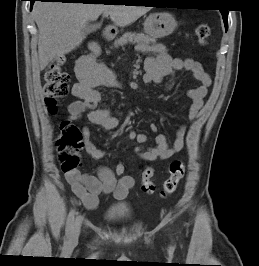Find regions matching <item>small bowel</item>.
Masks as SVG:
<instances>
[{
	"label": "small bowel",
	"mask_w": 259,
	"mask_h": 266,
	"mask_svg": "<svg viewBox=\"0 0 259 266\" xmlns=\"http://www.w3.org/2000/svg\"><path fill=\"white\" fill-rule=\"evenodd\" d=\"M152 51L153 55L148 56L144 61L145 73L143 80L145 83L159 84L164 79L171 78L170 83L167 85V88H171L174 84L173 77L179 70L190 72L199 82L196 88L187 92L188 97L191 99L188 117L190 120H194L199 115L204 98L208 93V88L212 83L210 76L199 61L192 58L172 57L162 45H155ZM75 71L78 82L74 84L72 93L78 100L72 102L68 107L69 120H79L87 112L88 119L104 130L116 128L119 121L112 115L110 110L97 108L101 100L99 88L119 85L115 74L104 65L97 63L92 54L82 56L76 64ZM150 129L153 133H156L154 138L155 146L151 148L142 146L148 140L145 134L137 133L134 130H129L127 133L128 139L140 144L135 148V153L140 158L146 161L166 160L183 149L185 144L184 126L178 128L176 138L171 146L168 144L166 136L158 133L157 125L151 124ZM82 134L86 151L95 159L104 157L105 152L96 148L90 141V132L87 127L82 129ZM65 177L71 186L72 192L88 209L96 208L99 196L103 194L112 193L115 198L124 199L134 186V180L130 176H123L118 180L114 172L106 166H100L96 176L80 174L76 171L67 173Z\"/></svg>",
	"instance_id": "obj_1"
}]
</instances>
